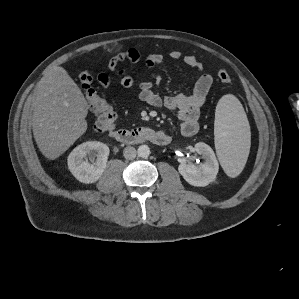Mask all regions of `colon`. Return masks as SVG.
Listing matches in <instances>:
<instances>
[{
    "mask_svg": "<svg viewBox=\"0 0 299 299\" xmlns=\"http://www.w3.org/2000/svg\"><path fill=\"white\" fill-rule=\"evenodd\" d=\"M218 78L224 84H231V76L225 70L218 71ZM79 82L85 98L96 116L94 130L98 133L112 132L117 120V112L114 107L94 89L93 78L88 71L80 73Z\"/></svg>",
    "mask_w": 299,
    "mask_h": 299,
    "instance_id": "5ec220e1",
    "label": "colon"
}]
</instances>
